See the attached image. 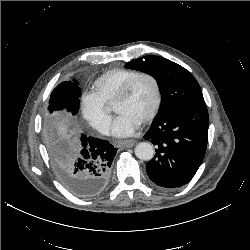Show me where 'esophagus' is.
<instances>
[{
    "label": "esophagus",
    "instance_id": "1",
    "mask_svg": "<svg viewBox=\"0 0 250 250\" xmlns=\"http://www.w3.org/2000/svg\"><path fill=\"white\" fill-rule=\"evenodd\" d=\"M135 140H124L118 143L119 146L132 147L135 145Z\"/></svg>",
    "mask_w": 250,
    "mask_h": 250
}]
</instances>
